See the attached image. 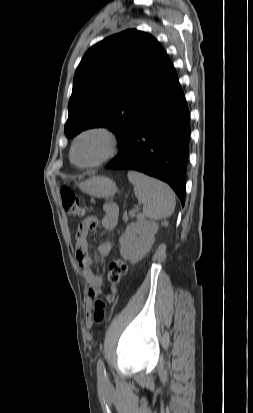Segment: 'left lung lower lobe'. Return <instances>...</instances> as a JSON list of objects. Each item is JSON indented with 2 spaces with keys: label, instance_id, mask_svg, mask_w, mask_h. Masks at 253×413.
<instances>
[{
  "label": "left lung lower lobe",
  "instance_id": "1",
  "mask_svg": "<svg viewBox=\"0 0 253 413\" xmlns=\"http://www.w3.org/2000/svg\"><path fill=\"white\" fill-rule=\"evenodd\" d=\"M190 113L171 63L130 121L108 169L143 172L168 183L185 204Z\"/></svg>",
  "mask_w": 253,
  "mask_h": 413
}]
</instances>
